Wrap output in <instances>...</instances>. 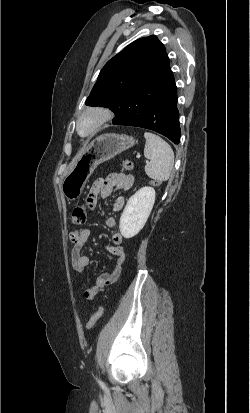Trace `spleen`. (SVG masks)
<instances>
[{"label":"spleen","mask_w":250,"mask_h":413,"mask_svg":"<svg viewBox=\"0 0 250 413\" xmlns=\"http://www.w3.org/2000/svg\"><path fill=\"white\" fill-rule=\"evenodd\" d=\"M144 137V156L149 160L145 165V173L157 182L168 180L174 166L171 146L156 134L145 132Z\"/></svg>","instance_id":"3e777b00"}]
</instances>
